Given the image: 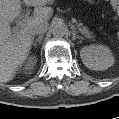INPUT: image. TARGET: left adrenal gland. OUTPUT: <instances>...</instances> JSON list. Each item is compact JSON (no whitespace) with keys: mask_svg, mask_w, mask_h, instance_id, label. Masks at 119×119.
I'll list each match as a JSON object with an SVG mask.
<instances>
[{"mask_svg":"<svg viewBox=\"0 0 119 119\" xmlns=\"http://www.w3.org/2000/svg\"><path fill=\"white\" fill-rule=\"evenodd\" d=\"M73 34V40H75V39H83V37H81V36H79V35H76V33L75 32H73L72 33Z\"/></svg>","mask_w":119,"mask_h":119,"instance_id":"a2214340","label":"left adrenal gland"}]
</instances>
